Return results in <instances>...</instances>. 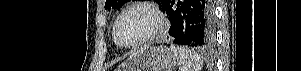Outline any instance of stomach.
Returning a JSON list of instances; mask_svg holds the SVG:
<instances>
[{"label":"stomach","mask_w":301,"mask_h":71,"mask_svg":"<svg viewBox=\"0 0 301 71\" xmlns=\"http://www.w3.org/2000/svg\"><path fill=\"white\" fill-rule=\"evenodd\" d=\"M176 62L168 48L147 46L134 52L118 71H174Z\"/></svg>","instance_id":"1"}]
</instances>
